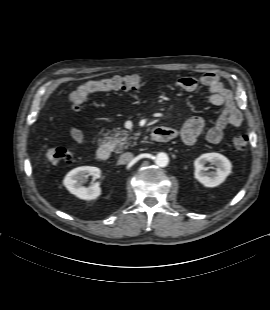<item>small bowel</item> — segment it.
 <instances>
[{
    "label": "small bowel",
    "instance_id": "1",
    "mask_svg": "<svg viewBox=\"0 0 270 310\" xmlns=\"http://www.w3.org/2000/svg\"><path fill=\"white\" fill-rule=\"evenodd\" d=\"M176 85L186 92H194L200 86L207 87L209 102L212 105L223 107L221 115L206 133V139L209 143H219L223 139L227 127L237 128L241 125L242 114L236 106L234 95L223 84L216 73L206 72L200 78L192 76L181 77L176 81ZM204 126L205 123L202 118L193 117L186 121L179 130V134L185 144L193 145L202 133ZM175 132L177 135V130ZM69 135L78 144L86 142V137L79 128H70Z\"/></svg>",
    "mask_w": 270,
    "mask_h": 310
}]
</instances>
